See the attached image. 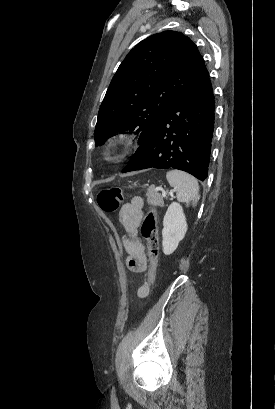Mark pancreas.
<instances>
[{
    "label": "pancreas",
    "instance_id": "pancreas-1",
    "mask_svg": "<svg viewBox=\"0 0 275 409\" xmlns=\"http://www.w3.org/2000/svg\"><path fill=\"white\" fill-rule=\"evenodd\" d=\"M147 196L149 205H157V207H164V200L162 194L156 192L154 188H149Z\"/></svg>",
    "mask_w": 275,
    "mask_h": 409
}]
</instances>
